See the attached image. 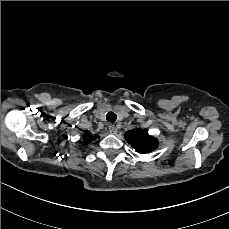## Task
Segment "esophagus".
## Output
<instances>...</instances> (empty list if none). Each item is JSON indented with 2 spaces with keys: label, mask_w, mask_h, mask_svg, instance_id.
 I'll return each instance as SVG.
<instances>
[{
  "label": "esophagus",
  "mask_w": 229,
  "mask_h": 229,
  "mask_svg": "<svg viewBox=\"0 0 229 229\" xmlns=\"http://www.w3.org/2000/svg\"><path fill=\"white\" fill-rule=\"evenodd\" d=\"M109 131H110L111 134H116L117 133V129L113 125L109 126Z\"/></svg>",
  "instance_id": "esophagus-1"
}]
</instances>
